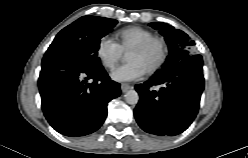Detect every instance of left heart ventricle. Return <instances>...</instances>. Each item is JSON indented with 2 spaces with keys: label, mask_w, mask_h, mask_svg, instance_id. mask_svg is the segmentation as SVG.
I'll use <instances>...</instances> for the list:
<instances>
[{
  "label": "left heart ventricle",
  "mask_w": 248,
  "mask_h": 158,
  "mask_svg": "<svg viewBox=\"0 0 248 158\" xmlns=\"http://www.w3.org/2000/svg\"><path fill=\"white\" fill-rule=\"evenodd\" d=\"M160 57V46L156 43L143 51H132L127 54V61L138 62L146 71L153 67Z\"/></svg>",
  "instance_id": "1"
}]
</instances>
